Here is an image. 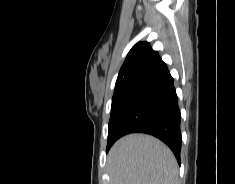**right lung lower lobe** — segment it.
<instances>
[{"mask_svg":"<svg viewBox=\"0 0 235 184\" xmlns=\"http://www.w3.org/2000/svg\"><path fill=\"white\" fill-rule=\"evenodd\" d=\"M180 122L174 80L162 62L126 89L109 122V132L114 142L129 133L155 136L172 150L180 164Z\"/></svg>","mask_w":235,"mask_h":184,"instance_id":"98d812e1","label":"right lung lower lobe"}]
</instances>
